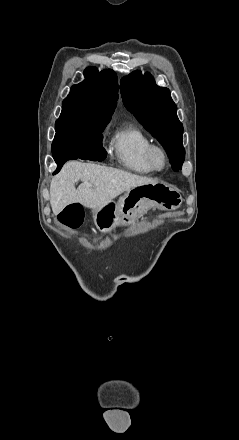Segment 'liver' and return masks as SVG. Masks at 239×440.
I'll return each mask as SVG.
<instances>
[{"instance_id":"6515ba94","label":"liver","mask_w":239,"mask_h":440,"mask_svg":"<svg viewBox=\"0 0 239 440\" xmlns=\"http://www.w3.org/2000/svg\"><path fill=\"white\" fill-rule=\"evenodd\" d=\"M78 180L84 184H80L76 190L74 184ZM147 184H159V182L153 178L135 176L124 170L105 168L98 164L67 162L61 172L51 180L50 204L54 216L60 214L65 206L75 202H79L85 208L96 210L108 202H113L114 198L131 188L147 186Z\"/></svg>"}]
</instances>
